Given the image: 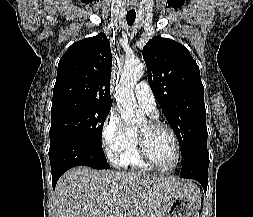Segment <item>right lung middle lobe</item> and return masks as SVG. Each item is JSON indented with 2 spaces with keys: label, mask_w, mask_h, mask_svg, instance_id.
<instances>
[{
  "label": "right lung middle lobe",
  "mask_w": 253,
  "mask_h": 217,
  "mask_svg": "<svg viewBox=\"0 0 253 217\" xmlns=\"http://www.w3.org/2000/svg\"><path fill=\"white\" fill-rule=\"evenodd\" d=\"M110 109L111 105L84 101L52 104L50 145L65 139H78L105 157L101 135Z\"/></svg>",
  "instance_id": "obj_1"
}]
</instances>
